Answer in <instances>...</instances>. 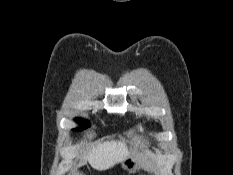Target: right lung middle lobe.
<instances>
[{
	"instance_id": "1",
	"label": "right lung middle lobe",
	"mask_w": 233,
	"mask_h": 175,
	"mask_svg": "<svg viewBox=\"0 0 233 175\" xmlns=\"http://www.w3.org/2000/svg\"><path fill=\"white\" fill-rule=\"evenodd\" d=\"M77 121H81L80 119H76ZM75 131H81L82 128H77V129H74Z\"/></svg>"
}]
</instances>
